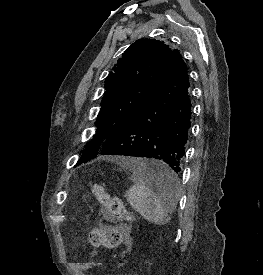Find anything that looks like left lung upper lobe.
I'll list each match as a JSON object with an SVG mask.
<instances>
[{"label": "left lung upper lobe", "instance_id": "obj_1", "mask_svg": "<svg viewBox=\"0 0 263 275\" xmlns=\"http://www.w3.org/2000/svg\"><path fill=\"white\" fill-rule=\"evenodd\" d=\"M176 53L155 39H139L129 46L106 78L97 130L77 166L95 158L104 142L127 124L161 82Z\"/></svg>", "mask_w": 263, "mask_h": 275}]
</instances>
